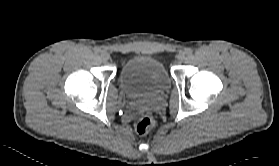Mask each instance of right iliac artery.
Here are the masks:
<instances>
[{
  "label": "right iliac artery",
  "instance_id": "right-iliac-artery-1",
  "mask_svg": "<svg viewBox=\"0 0 279 166\" xmlns=\"http://www.w3.org/2000/svg\"><path fill=\"white\" fill-rule=\"evenodd\" d=\"M101 51V48L100 47H94V52L97 54Z\"/></svg>",
  "mask_w": 279,
  "mask_h": 166
}]
</instances>
